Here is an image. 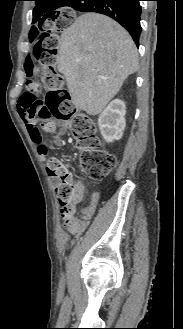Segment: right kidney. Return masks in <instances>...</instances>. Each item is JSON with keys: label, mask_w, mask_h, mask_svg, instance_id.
Instances as JSON below:
<instances>
[{"label": "right kidney", "mask_w": 183, "mask_h": 329, "mask_svg": "<svg viewBox=\"0 0 183 329\" xmlns=\"http://www.w3.org/2000/svg\"><path fill=\"white\" fill-rule=\"evenodd\" d=\"M126 106L120 99L113 100L98 118V126L103 139L111 143L122 138L126 121Z\"/></svg>", "instance_id": "ca27d5eb"}]
</instances>
